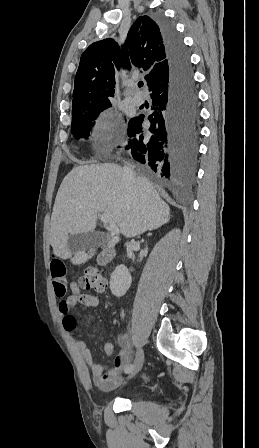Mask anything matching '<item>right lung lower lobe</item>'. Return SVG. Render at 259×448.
Here are the masks:
<instances>
[{"label": "right lung lower lobe", "mask_w": 259, "mask_h": 448, "mask_svg": "<svg viewBox=\"0 0 259 448\" xmlns=\"http://www.w3.org/2000/svg\"><path fill=\"white\" fill-rule=\"evenodd\" d=\"M164 40L170 79L167 88L151 95L153 112L146 117L149 132L142 128L144 115L128 124L125 149L151 167L163 179L186 186L193 182L198 160V99L192 65L182 39L172 24L157 19Z\"/></svg>", "instance_id": "1"}]
</instances>
